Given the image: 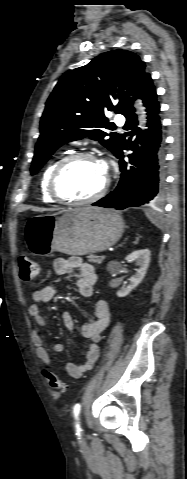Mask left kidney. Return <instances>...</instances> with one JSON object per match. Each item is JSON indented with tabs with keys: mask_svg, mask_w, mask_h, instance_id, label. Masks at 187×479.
Listing matches in <instances>:
<instances>
[{
	"mask_svg": "<svg viewBox=\"0 0 187 479\" xmlns=\"http://www.w3.org/2000/svg\"><path fill=\"white\" fill-rule=\"evenodd\" d=\"M150 255L151 254L148 249H141V250H136L132 252L131 254H129L128 256H126L125 260H127L128 262L135 261L138 268L135 269L136 270L135 275H133L130 278V284L127 287L122 288L117 292L118 297L127 296L134 288H136L141 283L150 263ZM120 269H121V264L116 261H111L107 265V270L111 274H117L120 271Z\"/></svg>",
	"mask_w": 187,
	"mask_h": 479,
	"instance_id": "left-kidney-1",
	"label": "left kidney"
}]
</instances>
